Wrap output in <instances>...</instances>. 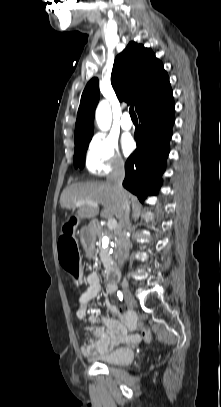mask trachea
Listing matches in <instances>:
<instances>
[{"label": "trachea", "instance_id": "obj_1", "mask_svg": "<svg viewBox=\"0 0 221 407\" xmlns=\"http://www.w3.org/2000/svg\"><path fill=\"white\" fill-rule=\"evenodd\" d=\"M129 113H130L131 117H137V116H136V113H135V111H134V107H133V106H131V107L129 108Z\"/></svg>", "mask_w": 221, "mask_h": 407}]
</instances>
